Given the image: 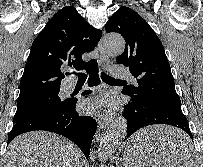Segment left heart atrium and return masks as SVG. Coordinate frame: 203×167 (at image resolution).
I'll use <instances>...</instances> for the list:
<instances>
[{
  "label": "left heart atrium",
  "mask_w": 203,
  "mask_h": 167,
  "mask_svg": "<svg viewBox=\"0 0 203 167\" xmlns=\"http://www.w3.org/2000/svg\"><path fill=\"white\" fill-rule=\"evenodd\" d=\"M115 102L108 95L97 96L82 103L83 111L87 113L109 114L113 111Z\"/></svg>",
  "instance_id": "obj_1"
}]
</instances>
